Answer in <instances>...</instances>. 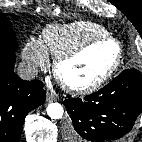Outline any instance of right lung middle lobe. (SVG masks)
I'll use <instances>...</instances> for the list:
<instances>
[{
  "mask_svg": "<svg viewBox=\"0 0 142 142\" xmlns=\"http://www.w3.org/2000/svg\"><path fill=\"white\" fill-rule=\"evenodd\" d=\"M17 49L18 43L12 30V24L5 15L0 14V55L15 59Z\"/></svg>",
  "mask_w": 142,
  "mask_h": 142,
  "instance_id": "right-lung-middle-lobe-1",
  "label": "right lung middle lobe"
}]
</instances>
